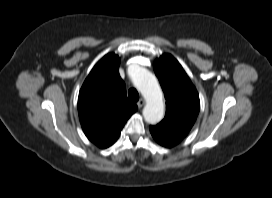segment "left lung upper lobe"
<instances>
[{"label":"left lung upper lobe","mask_w":272,"mask_h":198,"mask_svg":"<svg viewBox=\"0 0 272 198\" xmlns=\"http://www.w3.org/2000/svg\"><path fill=\"white\" fill-rule=\"evenodd\" d=\"M154 71L166 99V114L158 126L185 137L200 110L198 92L179 62L169 54L155 60Z\"/></svg>","instance_id":"left-lung-upper-lobe-1"}]
</instances>
